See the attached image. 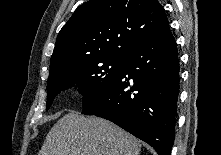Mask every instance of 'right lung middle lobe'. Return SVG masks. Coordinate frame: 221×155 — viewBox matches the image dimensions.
<instances>
[{
	"instance_id": "obj_1",
	"label": "right lung middle lobe",
	"mask_w": 221,
	"mask_h": 155,
	"mask_svg": "<svg viewBox=\"0 0 221 155\" xmlns=\"http://www.w3.org/2000/svg\"><path fill=\"white\" fill-rule=\"evenodd\" d=\"M126 56H110L81 60L49 75L47 81V109L62 90L80 86L84 94L83 106L102 93L118 75Z\"/></svg>"
}]
</instances>
